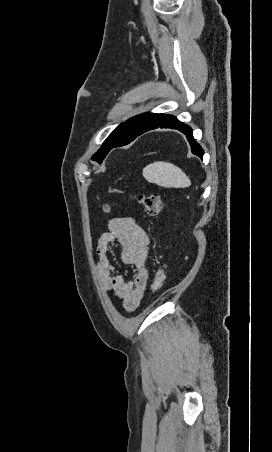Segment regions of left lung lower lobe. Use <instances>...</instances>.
<instances>
[{"instance_id": "obj_1", "label": "left lung lower lobe", "mask_w": 272, "mask_h": 452, "mask_svg": "<svg viewBox=\"0 0 272 452\" xmlns=\"http://www.w3.org/2000/svg\"><path fill=\"white\" fill-rule=\"evenodd\" d=\"M157 128L177 129L180 132L184 133L190 143L192 153L199 156L200 158L203 157V149L195 141L193 134H192V129L188 125L180 122L176 117L171 116V115H165V114H159L156 117V119L153 121V123L147 129H145L144 131H141L136 136H133L131 138H120L117 141L113 142L111 148L124 146V145L132 142L139 135H141L149 130H153V129H157Z\"/></svg>"}]
</instances>
